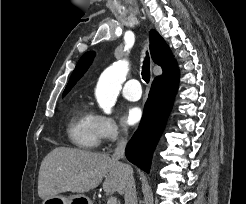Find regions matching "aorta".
<instances>
[{
  "mask_svg": "<svg viewBox=\"0 0 246 204\" xmlns=\"http://www.w3.org/2000/svg\"><path fill=\"white\" fill-rule=\"evenodd\" d=\"M128 70V62L120 60L108 67L100 76L96 89V98L100 108L106 114H111L118 90L125 80Z\"/></svg>",
  "mask_w": 246,
  "mask_h": 204,
  "instance_id": "obj_1",
  "label": "aorta"
}]
</instances>
